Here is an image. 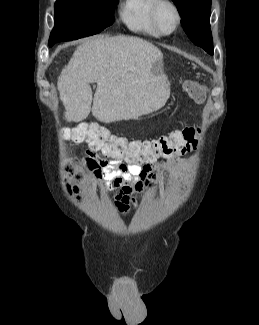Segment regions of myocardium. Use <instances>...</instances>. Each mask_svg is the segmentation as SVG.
I'll use <instances>...</instances> for the list:
<instances>
[{
  "label": "myocardium",
  "instance_id": "f54148a6",
  "mask_svg": "<svg viewBox=\"0 0 259 325\" xmlns=\"http://www.w3.org/2000/svg\"><path fill=\"white\" fill-rule=\"evenodd\" d=\"M164 4L171 6L176 14V23L173 29L170 31H163L159 25L158 18H157L158 10ZM150 17H151L152 24L154 25L155 29L159 32L160 35H170L174 33L179 28L182 21L181 9L174 0H155L150 11Z\"/></svg>",
  "mask_w": 259,
  "mask_h": 325
}]
</instances>
